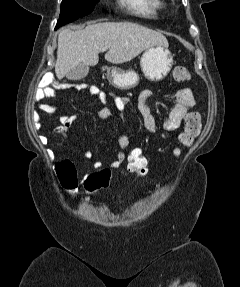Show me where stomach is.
<instances>
[{
    "label": "stomach",
    "mask_w": 240,
    "mask_h": 287,
    "mask_svg": "<svg viewBox=\"0 0 240 287\" xmlns=\"http://www.w3.org/2000/svg\"><path fill=\"white\" fill-rule=\"evenodd\" d=\"M173 65V56L168 46L156 45L145 50L140 66L144 76L154 82L163 80ZM109 82L120 89H129L139 81L138 74L133 70H123L118 67L107 69Z\"/></svg>",
    "instance_id": "obj_1"
}]
</instances>
